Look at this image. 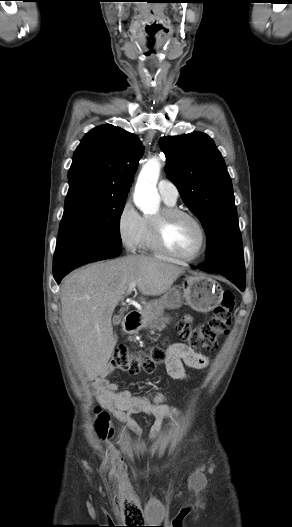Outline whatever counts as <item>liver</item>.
<instances>
[{
    "mask_svg": "<svg viewBox=\"0 0 292 527\" xmlns=\"http://www.w3.org/2000/svg\"><path fill=\"white\" fill-rule=\"evenodd\" d=\"M183 267L144 255H127L80 268L61 287L62 319L89 380L100 375L116 345L111 317L130 283L143 295L171 289ZM141 303L146 305L145 299Z\"/></svg>",
    "mask_w": 292,
    "mask_h": 527,
    "instance_id": "liver-1",
    "label": "liver"
}]
</instances>
